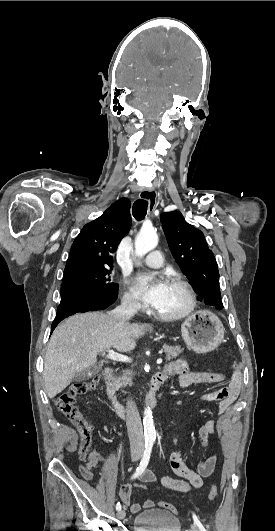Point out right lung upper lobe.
<instances>
[{
    "label": "right lung upper lobe",
    "mask_w": 275,
    "mask_h": 531,
    "mask_svg": "<svg viewBox=\"0 0 275 531\" xmlns=\"http://www.w3.org/2000/svg\"><path fill=\"white\" fill-rule=\"evenodd\" d=\"M131 227L130 201L121 198L86 224L75 238L64 272L113 267V254Z\"/></svg>",
    "instance_id": "cb5924a9"
}]
</instances>
